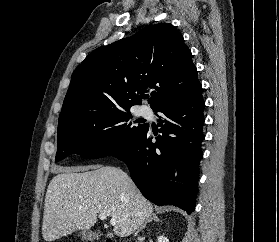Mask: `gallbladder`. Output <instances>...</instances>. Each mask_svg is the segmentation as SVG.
<instances>
[{
	"mask_svg": "<svg viewBox=\"0 0 279 242\" xmlns=\"http://www.w3.org/2000/svg\"><path fill=\"white\" fill-rule=\"evenodd\" d=\"M79 236L83 239V240H89V241H94L96 239H99L100 237V234L99 232H93V231H90V230H84V231H81L79 232Z\"/></svg>",
	"mask_w": 279,
	"mask_h": 242,
	"instance_id": "obj_1",
	"label": "gallbladder"
}]
</instances>
